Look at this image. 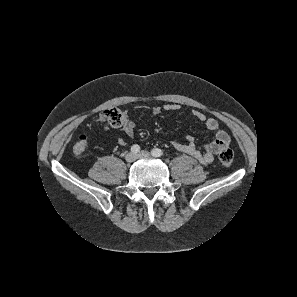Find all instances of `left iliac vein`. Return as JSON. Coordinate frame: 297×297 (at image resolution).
<instances>
[{
  "mask_svg": "<svg viewBox=\"0 0 297 297\" xmlns=\"http://www.w3.org/2000/svg\"><path fill=\"white\" fill-rule=\"evenodd\" d=\"M150 156V153L148 151H140L136 157L137 158H147Z\"/></svg>",
  "mask_w": 297,
  "mask_h": 297,
  "instance_id": "4c4485c4",
  "label": "left iliac vein"
}]
</instances>
